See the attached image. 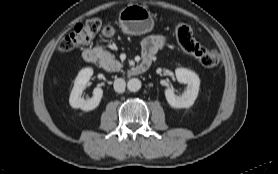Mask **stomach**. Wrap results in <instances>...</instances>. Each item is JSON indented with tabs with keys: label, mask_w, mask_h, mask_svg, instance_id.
<instances>
[{
	"label": "stomach",
	"mask_w": 278,
	"mask_h": 174,
	"mask_svg": "<svg viewBox=\"0 0 278 174\" xmlns=\"http://www.w3.org/2000/svg\"><path fill=\"white\" fill-rule=\"evenodd\" d=\"M119 24L124 34L142 35L152 31L154 20L146 7L130 4L119 13ZM103 33L105 36L111 37L115 30L113 27H107Z\"/></svg>",
	"instance_id": "stomach-1"
}]
</instances>
